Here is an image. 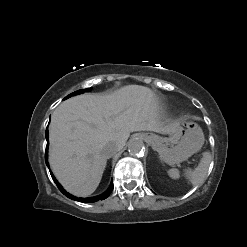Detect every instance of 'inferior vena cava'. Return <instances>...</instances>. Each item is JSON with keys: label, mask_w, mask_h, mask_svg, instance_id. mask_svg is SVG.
I'll return each instance as SVG.
<instances>
[{"label": "inferior vena cava", "mask_w": 247, "mask_h": 247, "mask_svg": "<svg viewBox=\"0 0 247 247\" xmlns=\"http://www.w3.org/2000/svg\"><path fill=\"white\" fill-rule=\"evenodd\" d=\"M103 150L106 155L111 157L120 150V147L117 144L110 142L104 146Z\"/></svg>", "instance_id": "inferior-vena-cava-1"}]
</instances>
